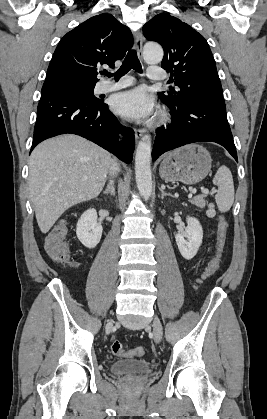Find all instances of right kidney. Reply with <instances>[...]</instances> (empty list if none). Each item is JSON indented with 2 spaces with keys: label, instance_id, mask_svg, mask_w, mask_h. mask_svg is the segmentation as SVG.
<instances>
[{
  "label": "right kidney",
  "instance_id": "right-kidney-1",
  "mask_svg": "<svg viewBox=\"0 0 267 419\" xmlns=\"http://www.w3.org/2000/svg\"><path fill=\"white\" fill-rule=\"evenodd\" d=\"M103 228L97 222L95 209H88L79 218L76 226V234L79 241L89 249H93L100 242Z\"/></svg>",
  "mask_w": 267,
  "mask_h": 419
}]
</instances>
